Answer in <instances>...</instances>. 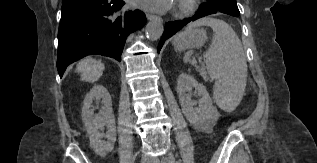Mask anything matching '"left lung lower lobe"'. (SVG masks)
Here are the masks:
<instances>
[{
    "mask_svg": "<svg viewBox=\"0 0 317 163\" xmlns=\"http://www.w3.org/2000/svg\"><path fill=\"white\" fill-rule=\"evenodd\" d=\"M225 13L234 17H238V15L233 14V13H229V12H223V11H219V10H209V9H205L202 6L200 7L199 11L197 14H195L194 16L190 17V18H186L184 20L181 21H175V22H168L165 25V30L163 32L162 38L159 42L158 45V52L160 51V49L162 48V45L164 44V42L170 38L171 36H173L176 32H178L180 29H182L186 24H188L190 21H195L201 17L210 15V14H214V13Z\"/></svg>",
    "mask_w": 317,
    "mask_h": 163,
    "instance_id": "obj_1",
    "label": "left lung lower lobe"
}]
</instances>
